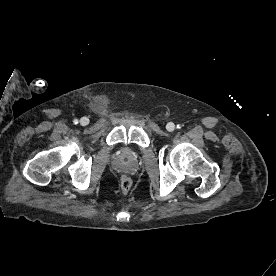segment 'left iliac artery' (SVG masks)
<instances>
[{
	"mask_svg": "<svg viewBox=\"0 0 276 276\" xmlns=\"http://www.w3.org/2000/svg\"><path fill=\"white\" fill-rule=\"evenodd\" d=\"M177 128H181L179 125H177Z\"/></svg>",
	"mask_w": 276,
	"mask_h": 276,
	"instance_id": "1",
	"label": "left iliac artery"
}]
</instances>
